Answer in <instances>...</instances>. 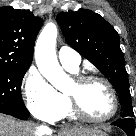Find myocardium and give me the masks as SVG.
I'll list each match as a JSON object with an SVG mask.
<instances>
[{
    "instance_id": "1",
    "label": "myocardium",
    "mask_w": 136,
    "mask_h": 136,
    "mask_svg": "<svg viewBox=\"0 0 136 136\" xmlns=\"http://www.w3.org/2000/svg\"><path fill=\"white\" fill-rule=\"evenodd\" d=\"M73 82L77 90L82 89L91 82H101L106 86V88L110 92L113 102L112 111L107 116L103 118H93L87 115L83 110L77 93L66 92L65 96L67 98L70 111L74 117L88 123L101 124L111 120L117 114L119 108L118 96L115 88L106 78L98 75H79L75 77Z\"/></svg>"
}]
</instances>
